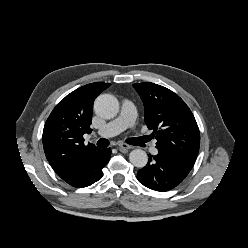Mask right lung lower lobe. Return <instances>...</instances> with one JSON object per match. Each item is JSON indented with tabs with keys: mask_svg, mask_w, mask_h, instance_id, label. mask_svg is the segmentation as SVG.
Wrapping results in <instances>:
<instances>
[{
	"mask_svg": "<svg viewBox=\"0 0 248 248\" xmlns=\"http://www.w3.org/2000/svg\"><path fill=\"white\" fill-rule=\"evenodd\" d=\"M111 149H96L90 152L71 174L62 178L73 187H86L100 180L102 169L109 162Z\"/></svg>",
	"mask_w": 248,
	"mask_h": 248,
	"instance_id": "obj_1",
	"label": "right lung lower lobe"
}]
</instances>
